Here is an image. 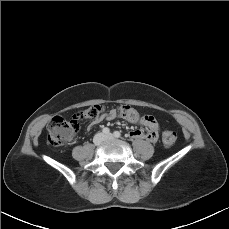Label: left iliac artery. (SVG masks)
I'll return each instance as SVG.
<instances>
[{
    "instance_id": "left-iliac-artery-1",
    "label": "left iliac artery",
    "mask_w": 229,
    "mask_h": 229,
    "mask_svg": "<svg viewBox=\"0 0 229 229\" xmlns=\"http://www.w3.org/2000/svg\"><path fill=\"white\" fill-rule=\"evenodd\" d=\"M113 135L118 138L121 136V133L119 131H114Z\"/></svg>"
}]
</instances>
